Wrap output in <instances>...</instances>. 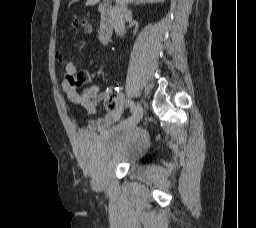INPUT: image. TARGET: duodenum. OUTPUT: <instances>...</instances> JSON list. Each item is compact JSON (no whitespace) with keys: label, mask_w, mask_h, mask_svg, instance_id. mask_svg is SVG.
<instances>
[{"label":"duodenum","mask_w":256,"mask_h":228,"mask_svg":"<svg viewBox=\"0 0 256 228\" xmlns=\"http://www.w3.org/2000/svg\"><path fill=\"white\" fill-rule=\"evenodd\" d=\"M101 24L99 30V40L101 43H108L114 30V11L108 4L100 5Z\"/></svg>","instance_id":"410a0bca"}]
</instances>
